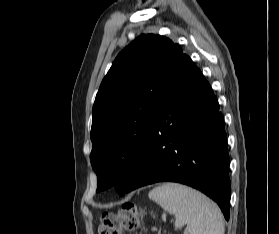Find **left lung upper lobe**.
I'll return each mask as SVG.
<instances>
[{
	"mask_svg": "<svg viewBox=\"0 0 279 234\" xmlns=\"http://www.w3.org/2000/svg\"><path fill=\"white\" fill-rule=\"evenodd\" d=\"M183 51L170 39L141 35L116 57L92 110L90 154L97 192L116 185L120 195L143 153L163 91Z\"/></svg>",
	"mask_w": 279,
	"mask_h": 234,
	"instance_id": "obj_1",
	"label": "left lung upper lobe"
}]
</instances>
